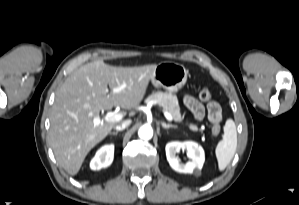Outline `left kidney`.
Listing matches in <instances>:
<instances>
[{
	"label": "left kidney",
	"instance_id": "1",
	"mask_svg": "<svg viewBox=\"0 0 299 205\" xmlns=\"http://www.w3.org/2000/svg\"><path fill=\"white\" fill-rule=\"evenodd\" d=\"M186 150L191 157V161L181 163L176 157V153L180 150ZM166 157L172 169L179 173H193L195 169L200 170L205 161L203 148L193 141H173L166 145Z\"/></svg>",
	"mask_w": 299,
	"mask_h": 205
}]
</instances>
